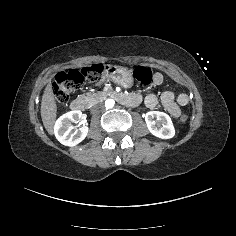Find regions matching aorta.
Wrapping results in <instances>:
<instances>
[{
  "instance_id": "aorta-1",
  "label": "aorta",
  "mask_w": 236,
  "mask_h": 236,
  "mask_svg": "<svg viewBox=\"0 0 236 236\" xmlns=\"http://www.w3.org/2000/svg\"><path fill=\"white\" fill-rule=\"evenodd\" d=\"M114 100H112V99H107L106 101H105V107L107 108V109H111V108H113L114 107Z\"/></svg>"
}]
</instances>
